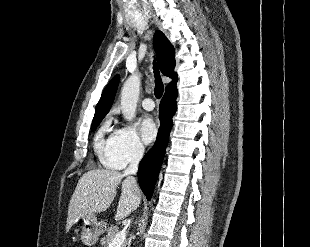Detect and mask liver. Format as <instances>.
Wrapping results in <instances>:
<instances>
[{
	"instance_id": "1",
	"label": "liver",
	"mask_w": 310,
	"mask_h": 247,
	"mask_svg": "<svg viewBox=\"0 0 310 247\" xmlns=\"http://www.w3.org/2000/svg\"><path fill=\"white\" fill-rule=\"evenodd\" d=\"M124 174L107 169H93L84 173L71 197L68 207L67 231L80 218L106 211L116 196V188L122 182L121 196L115 220L126 218L141 202L140 189L136 180ZM123 180V181H122Z\"/></svg>"
}]
</instances>
